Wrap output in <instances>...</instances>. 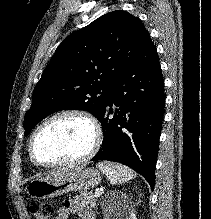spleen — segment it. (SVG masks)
I'll list each match as a JSON object with an SVG mask.
<instances>
[{
    "instance_id": "3e777b00",
    "label": "spleen",
    "mask_w": 211,
    "mask_h": 219,
    "mask_svg": "<svg viewBox=\"0 0 211 219\" xmlns=\"http://www.w3.org/2000/svg\"><path fill=\"white\" fill-rule=\"evenodd\" d=\"M111 184H122L133 179L136 174L126 166L113 162H99L96 165Z\"/></svg>"
}]
</instances>
